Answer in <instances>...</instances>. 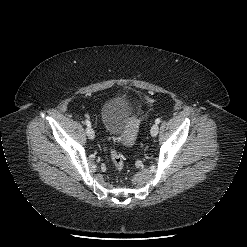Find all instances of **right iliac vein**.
<instances>
[{
	"mask_svg": "<svg viewBox=\"0 0 247 247\" xmlns=\"http://www.w3.org/2000/svg\"><path fill=\"white\" fill-rule=\"evenodd\" d=\"M86 133H87V136L90 139H94L95 138L94 130L91 127L86 128Z\"/></svg>",
	"mask_w": 247,
	"mask_h": 247,
	"instance_id": "right-iliac-vein-1",
	"label": "right iliac vein"
}]
</instances>
